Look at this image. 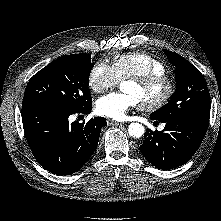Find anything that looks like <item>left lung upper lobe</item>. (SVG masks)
I'll return each instance as SVG.
<instances>
[{
    "instance_id": "left-lung-upper-lobe-1",
    "label": "left lung upper lobe",
    "mask_w": 221,
    "mask_h": 221,
    "mask_svg": "<svg viewBox=\"0 0 221 221\" xmlns=\"http://www.w3.org/2000/svg\"><path fill=\"white\" fill-rule=\"evenodd\" d=\"M176 67V91L168 104L151 115L159 120L210 117V95L204 76L184 57L164 49Z\"/></svg>"
}]
</instances>
